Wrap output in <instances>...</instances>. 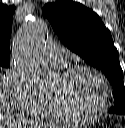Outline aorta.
Instances as JSON below:
<instances>
[{
    "instance_id": "aorta-1",
    "label": "aorta",
    "mask_w": 125,
    "mask_h": 128,
    "mask_svg": "<svg viewBox=\"0 0 125 128\" xmlns=\"http://www.w3.org/2000/svg\"><path fill=\"white\" fill-rule=\"evenodd\" d=\"M47 37L48 29L42 21H28L13 42L17 67L40 90L52 88L54 79L52 72L38 54Z\"/></svg>"
}]
</instances>
